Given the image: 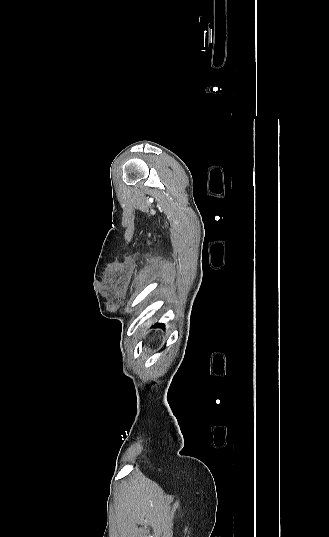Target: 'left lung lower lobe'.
I'll use <instances>...</instances> for the list:
<instances>
[{
    "mask_svg": "<svg viewBox=\"0 0 329 537\" xmlns=\"http://www.w3.org/2000/svg\"><path fill=\"white\" fill-rule=\"evenodd\" d=\"M156 326L164 327L165 325L163 323H156Z\"/></svg>",
    "mask_w": 329,
    "mask_h": 537,
    "instance_id": "1",
    "label": "left lung lower lobe"
}]
</instances>
